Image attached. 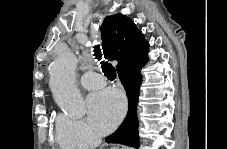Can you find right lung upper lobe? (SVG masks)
Instances as JSON below:
<instances>
[{"label":"right lung upper lobe","mask_w":227,"mask_h":149,"mask_svg":"<svg viewBox=\"0 0 227 149\" xmlns=\"http://www.w3.org/2000/svg\"><path fill=\"white\" fill-rule=\"evenodd\" d=\"M101 32L105 58L118 61L117 71L148 60L149 44L128 17L122 14L107 16Z\"/></svg>","instance_id":"obj_1"}]
</instances>
